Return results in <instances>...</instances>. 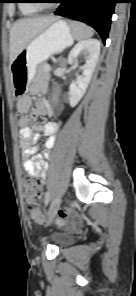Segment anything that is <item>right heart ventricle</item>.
Instances as JSON below:
<instances>
[{"instance_id": "1", "label": "right heart ventricle", "mask_w": 136, "mask_h": 296, "mask_svg": "<svg viewBox=\"0 0 136 296\" xmlns=\"http://www.w3.org/2000/svg\"><path fill=\"white\" fill-rule=\"evenodd\" d=\"M38 8L35 7L31 0H22V3L20 4V11L24 15H33L38 12Z\"/></svg>"}]
</instances>
